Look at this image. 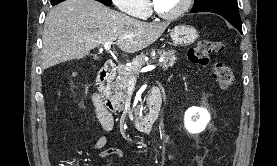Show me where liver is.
Instances as JSON below:
<instances>
[{
  "instance_id": "6515ba94",
  "label": "liver",
  "mask_w": 277,
  "mask_h": 166,
  "mask_svg": "<svg viewBox=\"0 0 277 166\" xmlns=\"http://www.w3.org/2000/svg\"><path fill=\"white\" fill-rule=\"evenodd\" d=\"M168 25L139 21L96 0H66L47 14L42 69L82 59L109 41L117 40L124 53L138 52L155 42Z\"/></svg>"
}]
</instances>
